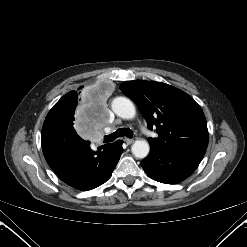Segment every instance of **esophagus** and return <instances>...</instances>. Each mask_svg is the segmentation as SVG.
<instances>
[{"mask_svg":"<svg viewBox=\"0 0 247 247\" xmlns=\"http://www.w3.org/2000/svg\"><path fill=\"white\" fill-rule=\"evenodd\" d=\"M124 141H125V143H126L127 145H130V144H132V143L134 142L133 139H129V138H125Z\"/></svg>","mask_w":247,"mask_h":247,"instance_id":"obj_1","label":"esophagus"}]
</instances>
